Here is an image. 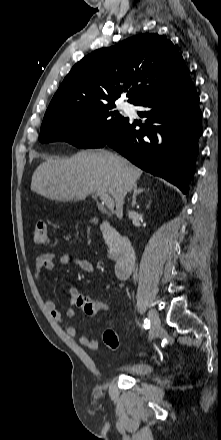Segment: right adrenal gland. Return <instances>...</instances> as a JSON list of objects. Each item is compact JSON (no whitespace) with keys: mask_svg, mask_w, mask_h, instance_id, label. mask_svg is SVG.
<instances>
[{"mask_svg":"<svg viewBox=\"0 0 221 440\" xmlns=\"http://www.w3.org/2000/svg\"><path fill=\"white\" fill-rule=\"evenodd\" d=\"M133 190H134V192H133V196H132V206H135L137 204L136 203V196L138 194L142 193L143 191H145V189L144 188H137V185H134Z\"/></svg>","mask_w":221,"mask_h":440,"instance_id":"1","label":"right adrenal gland"}]
</instances>
